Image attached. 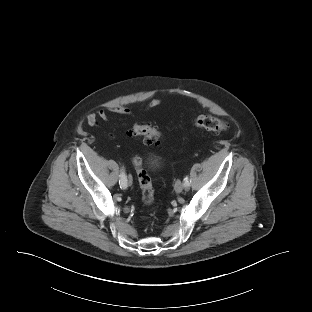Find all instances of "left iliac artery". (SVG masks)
Segmentation results:
<instances>
[{
  "instance_id": "1",
  "label": "left iliac artery",
  "mask_w": 312,
  "mask_h": 312,
  "mask_svg": "<svg viewBox=\"0 0 312 312\" xmlns=\"http://www.w3.org/2000/svg\"><path fill=\"white\" fill-rule=\"evenodd\" d=\"M184 185H185V187H188V186H189V177H188V176H186V177L184 178Z\"/></svg>"
}]
</instances>
